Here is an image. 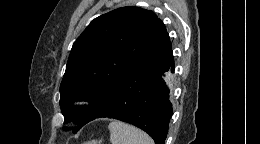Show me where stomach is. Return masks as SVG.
<instances>
[{
	"label": "stomach",
	"instance_id": "1",
	"mask_svg": "<svg viewBox=\"0 0 260 144\" xmlns=\"http://www.w3.org/2000/svg\"><path fill=\"white\" fill-rule=\"evenodd\" d=\"M84 144H100V141H97V140H92V141H88Z\"/></svg>",
	"mask_w": 260,
	"mask_h": 144
}]
</instances>
